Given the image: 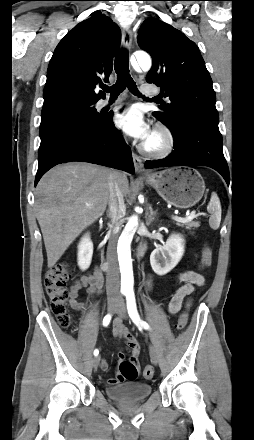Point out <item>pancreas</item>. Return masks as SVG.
Returning <instances> with one entry per match:
<instances>
[{
	"instance_id": "cf45deb5",
	"label": "pancreas",
	"mask_w": 254,
	"mask_h": 440,
	"mask_svg": "<svg viewBox=\"0 0 254 440\" xmlns=\"http://www.w3.org/2000/svg\"><path fill=\"white\" fill-rule=\"evenodd\" d=\"M177 225L181 226V227H185L188 230H191V229L199 227L200 226V222H198V221H189V222H185V223H178Z\"/></svg>"
}]
</instances>
